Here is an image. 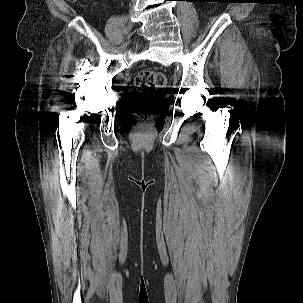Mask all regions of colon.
Returning a JSON list of instances; mask_svg holds the SVG:
<instances>
[{
  "label": "colon",
  "mask_w": 303,
  "mask_h": 303,
  "mask_svg": "<svg viewBox=\"0 0 303 303\" xmlns=\"http://www.w3.org/2000/svg\"><path fill=\"white\" fill-rule=\"evenodd\" d=\"M134 84L138 92L133 104L140 116L147 119L167 101L166 94L161 91L166 86V78L160 72L144 70L137 74Z\"/></svg>",
  "instance_id": "5ec220e1"
}]
</instances>
